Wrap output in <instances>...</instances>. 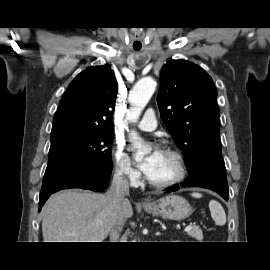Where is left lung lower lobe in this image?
<instances>
[{
	"instance_id": "left-lung-lower-lobe-1",
	"label": "left lung lower lobe",
	"mask_w": 270,
	"mask_h": 270,
	"mask_svg": "<svg viewBox=\"0 0 270 270\" xmlns=\"http://www.w3.org/2000/svg\"><path fill=\"white\" fill-rule=\"evenodd\" d=\"M182 187H203L220 194L228 201L229 190L224 163L209 162L198 173L189 176L187 181L181 183ZM168 192L176 191L179 185H173Z\"/></svg>"
}]
</instances>
